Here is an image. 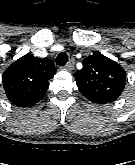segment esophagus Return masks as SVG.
<instances>
[{
    "mask_svg": "<svg viewBox=\"0 0 135 165\" xmlns=\"http://www.w3.org/2000/svg\"><path fill=\"white\" fill-rule=\"evenodd\" d=\"M74 64H75V60L71 58L64 68L68 71H71L74 68Z\"/></svg>",
    "mask_w": 135,
    "mask_h": 165,
    "instance_id": "1",
    "label": "esophagus"
}]
</instances>
